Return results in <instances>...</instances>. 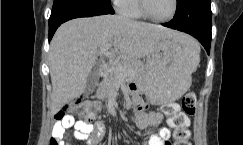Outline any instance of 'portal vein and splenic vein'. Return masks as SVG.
<instances>
[{
    "mask_svg": "<svg viewBox=\"0 0 243 145\" xmlns=\"http://www.w3.org/2000/svg\"><path fill=\"white\" fill-rule=\"evenodd\" d=\"M111 48V44H107L106 46H104L103 48H101L99 50V54H104L106 56H108L110 59H114V54L113 52L109 51V49ZM120 71L121 72H125V69L123 66L120 67Z\"/></svg>",
    "mask_w": 243,
    "mask_h": 145,
    "instance_id": "18ae733b",
    "label": "portal vein and splenic vein"
}]
</instances>
